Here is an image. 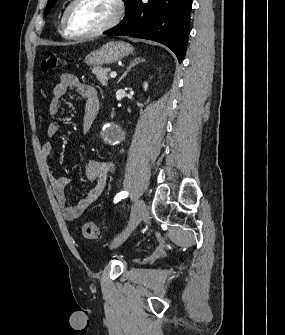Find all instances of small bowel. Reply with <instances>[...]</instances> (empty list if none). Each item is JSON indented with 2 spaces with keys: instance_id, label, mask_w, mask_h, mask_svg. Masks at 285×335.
Wrapping results in <instances>:
<instances>
[{
  "instance_id": "1",
  "label": "small bowel",
  "mask_w": 285,
  "mask_h": 335,
  "mask_svg": "<svg viewBox=\"0 0 285 335\" xmlns=\"http://www.w3.org/2000/svg\"><path fill=\"white\" fill-rule=\"evenodd\" d=\"M69 89H74L77 94L85 100V115L82 122L83 131L88 133L91 130L95 117H91L90 112L95 106H99V98L96 89L93 86L81 83L77 77L72 74L64 73L60 76V81L52 91V98L49 104V113L51 116H57L60 110V101L66 95ZM59 132V125L51 122L47 126V136L52 138ZM42 154L47 163L48 179L62 212L63 218L67 221H73L79 218L101 195L103 192L107 175L111 171V165L105 161H89L85 167L86 178L92 182V187L75 206H69L66 202L67 179L64 176L56 175L50 168L48 161L53 155V144L50 141L44 143Z\"/></svg>"
}]
</instances>
